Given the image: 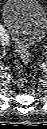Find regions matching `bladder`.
Masks as SVG:
<instances>
[{
	"instance_id": "31cf9c89",
	"label": "bladder",
	"mask_w": 47,
	"mask_h": 129,
	"mask_svg": "<svg viewBox=\"0 0 47 129\" xmlns=\"http://www.w3.org/2000/svg\"><path fill=\"white\" fill-rule=\"evenodd\" d=\"M2 21L17 46L26 51L45 37L46 13L37 0H7Z\"/></svg>"
}]
</instances>
